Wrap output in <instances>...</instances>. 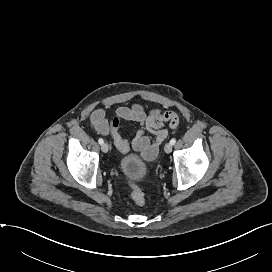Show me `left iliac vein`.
Wrapping results in <instances>:
<instances>
[{"label": "left iliac vein", "instance_id": "left-iliac-vein-1", "mask_svg": "<svg viewBox=\"0 0 272 272\" xmlns=\"http://www.w3.org/2000/svg\"><path fill=\"white\" fill-rule=\"evenodd\" d=\"M164 150L166 153H170L172 151V145L170 143H167L164 147Z\"/></svg>", "mask_w": 272, "mask_h": 272}]
</instances>
